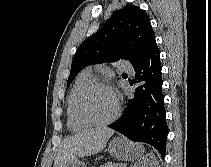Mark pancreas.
<instances>
[{"label":"pancreas","instance_id":"obj_1","mask_svg":"<svg viewBox=\"0 0 211 167\" xmlns=\"http://www.w3.org/2000/svg\"><path fill=\"white\" fill-rule=\"evenodd\" d=\"M100 167H124L122 164L108 162Z\"/></svg>","mask_w":211,"mask_h":167}]
</instances>
